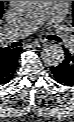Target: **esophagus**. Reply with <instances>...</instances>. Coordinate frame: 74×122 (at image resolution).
<instances>
[{"label": "esophagus", "mask_w": 74, "mask_h": 122, "mask_svg": "<svg viewBox=\"0 0 74 122\" xmlns=\"http://www.w3.org/2000/svg\"><path fill=\"white\" fill-rule=\"evenodd\" d=\"M46 44H47V42L45 40H43V39L37 40V41L32 43V45L35 46V47H43Z\"/></svg>", "instance_id": "esophagus-1"}]
</instances>
